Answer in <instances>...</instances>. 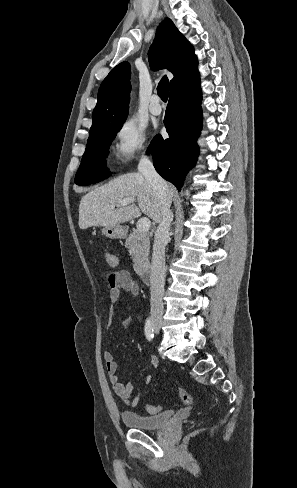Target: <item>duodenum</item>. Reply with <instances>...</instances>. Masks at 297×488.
Wrapping results in <instances>:
<instances>
[{
  "mask_svg": "<svg viewBox=\"0 0 297 488\" xmlns=\"http://www.w3.org/2000/svg\"><path fill=\"white\" fill-rule=\"evenodd\" d=\"M139 276L145 284H152L154 280L153 270L150 265H145L139 270Z\"/></svg>",
  "mask_w": 297,
  "mask_h": 488,
  "instance_id": "duodenum-1",
  "label": "duodenum"
}]
</instances>
